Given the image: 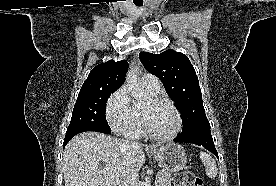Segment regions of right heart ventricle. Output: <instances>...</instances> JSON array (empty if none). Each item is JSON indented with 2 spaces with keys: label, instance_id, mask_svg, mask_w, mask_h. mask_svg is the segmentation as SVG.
Returning a JSON list of instances; mask_svg holds the SVG:
<instances>
[{
  "label": "right heart ventricle",
  "instance_id": "obj_1",
  "mask_svg": "<svg viewBox=\"0 0 276 186\" xmlns=\"http://www.w3.org/2000/svg\"><path fill=\"white\" fill-rule=\"evenodd\" d=\"M146 90H147L150 94H152V95H154V96L157 95V93H154V92L148 90L147 88H146ZM135 110H136V112H137V114H138V116H139V118H140V111H139V109L135 108ZM131 135H132L133 137H136V138L142 137V136L144 135V131H143V129H142V126H141V123H140V122H139V125H138L136 131H135L133 134H131Z\"/></svg>",
  "mask_w": 276,
  "mask_h": 186
}]
</instances>
